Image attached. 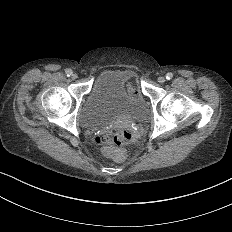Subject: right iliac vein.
<instances>
[{
	"label": "right iliac vein",
	"mask_w": 232,
	"mask_h": 232,
	"mask_svg": "<svg viewBox=\"0 0 232 232\" xmlns=\"http://www.w3.org/2000/svg\"><path fill=\"white\" fill-rule=\"evenodd\" d=\"M73 78H76V75H73Z\"/></svg>",
	"instance_id": "right-iliac-vein-1"
}]
</instances>
